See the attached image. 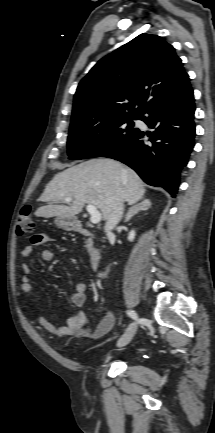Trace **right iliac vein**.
<instances>
[{
  "mask_svg": "<svg viewBox=\"0 0 215 433\" xmlns=\"http://www.w3.org/2000/svg\"><path fill=\"white\" fill-rule=\"evenodd\" d=\"M137 330V321L131 323L125 333L120 337L117 342L118 347L126 346L134 337Z\"/></svg>",
  "mask_w": 215,
  "mask_h": 433,
  "instance_id": "63e3f726",
  "label": "right iliac vein"
}]
</instances>
